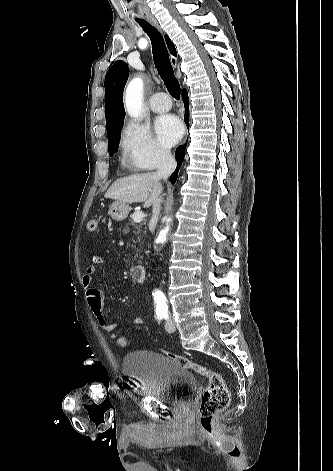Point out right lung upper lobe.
<instances>
[{"label":"right lung upper lobe","mask_w":333,"mask_h":471,"mask_svg":"<svg viewBox=\"0 0 333 471\" xmlns=\"http://www.w3.org/2000/svg\"><path fill=\"white\" fill-rule=\"evenodd\" d=\"M167 46L172 55L176 56L173 42L165 35ZM128 65L116 61L105 76V114L107 131L123 122L125 110L123 106V90L128 79Z\"/></svg>","instance_id":"cb5924a9"}]
</instances>
